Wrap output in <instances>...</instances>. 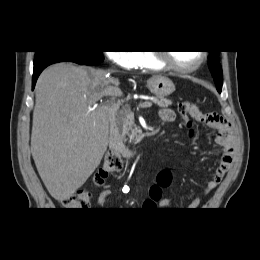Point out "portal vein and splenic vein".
<instances>
[{
	"label": "portal vein and splenic vein",
	"instance_id": "1",
	"mask_svg": "<svg viewBox=\"0 0 260 260\" xmlns=\"http://www.w3.org/2000/svg\"><path fill=\"white\" fill-rule=\"evenodd\" d=\"M122 91L119 88H112L110 89L106 95H112V96H122ZM139 107L141 108H150L152 107V102L150 101H145V102H141L139 104Z\"/></svg>",
	"mask_w": 260,
	"mask_h": 260
}]
</instances>
